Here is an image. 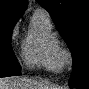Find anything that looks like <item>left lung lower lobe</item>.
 <instances>
[{"instance_id":"1","label":"left lung lower lobe","mask_w":89,"mask_h":89,"mask_svg":"<svg viewBox=\"0 0 89 89\" xmlns=\"http://www.w3.org/2000/svg\"><path fill=\"white\" fill-rule=\"evenodd\" d=\"M87 87H88V86H86V87H80V88H78V89H88Z\"/></svg>"}]
</instances>
